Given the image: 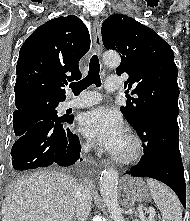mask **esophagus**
Listing matches in <instances>:
<instances>
[{"instance_id":"34e87169","label":"esophagus","mask_w":190,"mask_h":221,"mask_svg":"<svg viewBox=\"0 0 190 221\" xmlns=\"http://www.w3.org/2000/svg\"><path fill=\"white\" fill-rule=\"evenodd\" d=\"M93 41H94V48L98 55H101L102 53V38H101V30H100V24L98 19H95L93 22ZM102 166H111V162L109 160H102L101 161Z\"/></svg>"}]
</instances>
